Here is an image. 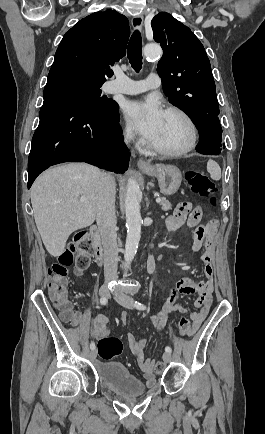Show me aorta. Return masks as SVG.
Instances as JSON below:
<instances>
[{
  "label": "aorta",
  "mask_w": 265,
  "mask_h": 434,
  "mask_svg": "<svg viewBox=\"0 0 265 434\" xmlns=\"http://www.w3.org/2000/svg\"><path fill=\"white\" fill-rule=\"evenodd\" d=\"M146 58H156L161 54L160 48L156 44H148L143 50ZM140 188L133 178L128 180L127 192L125 198V214H126V228L127 238L125 244L124 260L125 270H127L129 264H131L139 246L141 238V224L142 218L140 214V204L138 200V194ZM126 274V272H125Z\"/></svg>",
  "instance_id": "762f6f07"
}]
</instances>
